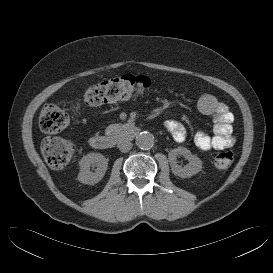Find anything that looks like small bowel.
Returning <instances> with one entry per match:
<instances>
[{"instance_id": "1", "label": "small bowel", "mask_w": 273, "mask_h": 273, "mask_svg": "<svg viewBox=\"0 0 273 273\" xmlns=\"http://www.w3.org/2000/svg\"><path fill=\"white\" fill-rule=\"evenodd\" d=\"M197 107L201 114L212 116L214 132L210 136L204 131L198 130L194 135L197 148L201 151H209L232 147L236 139L231 132L233 114L229 111L227 105L219 101L215 96L205 94L198 100ZM164 127L176 142L181 143L185 140L186 129L180 121L167 120Z\"/></svg>"}]
</instances>
